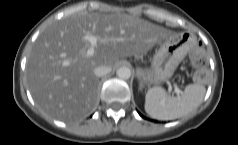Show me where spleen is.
<instances>
[{"mask_svg": "<svg viewBox=\"0 0 238 145\" xmlns=\"http://www.w3.org/2000/svg\"><path fill=\"white\" fill-rule=\"evenodd\" d=\"M206 88L189 84L181 95H166L160 87L150 88L145 96V111L154 119L173 120L196 109L203 101Z\"/></svg>", "mask_w": 238, "mask_h": 145, "instance_id": "1", "label": "spleen"}]
</instances>
